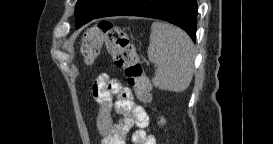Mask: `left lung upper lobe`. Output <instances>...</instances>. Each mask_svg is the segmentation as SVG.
<instances>
[{
    "mask_svg": "<svg viewBox=\"0 0 273 144\" xmlns=\"http://www.w3.org/2000/svg\"><path fill=\"white\" fill-rule=\"evenodd\" d=\"M96 0H78L75 12L81 9L82 7H85L87 4L88 5H93Z\"/></svg>",
    "mask_w": 273,
    "mask_h": 144,
    "instance_id": "obj_1",
    "label": "left lung upper lobe"
}]
</instances>
